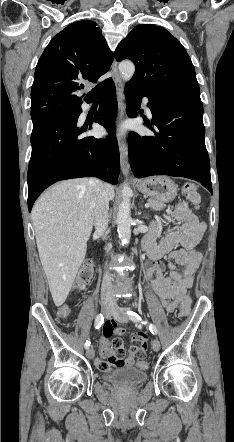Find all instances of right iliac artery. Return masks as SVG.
<instances>
[{"instance_id": "right-iliac-artery-1", "label": "right iliac artery", "mask_w": 234, "mask_h": 442, "mask_svg": "<svg viewBox=\"0 0 234 442\" xmlns=\"http://www.w3.org/2000/svg\"><path fill=\"white\" fill-rule=\"evenodd\" d=\"M103 322H104L103 315L102 314H98L96 316V319H95V324H94L95 328L96 329L100 328L101 325L103 324ZM89 346H90V341L87 340L86 343H85V348L88 349Z\"/></svg>"}]
</instances>
